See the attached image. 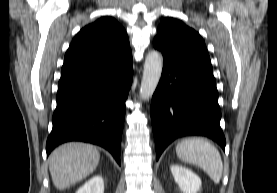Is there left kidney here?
Wrapping results in <instances>:
<instances>
[{
  "label": "left kidney",
  "mask_w": 277,
  "mask_h": 193,
  "mask_svg": "<svg viewBox=\"0 0 277 193\" xmlns=\"http://www.w3.org/2000/svg\"><path fill=\"white\" fill-rule=\"evenodd\" d=\"M170 170L183 193H197L200 190L201 179L194 172L178 164H172Z\"/></svg>",
  "instance_id": "left-kidney-1"
}]
</instances>
